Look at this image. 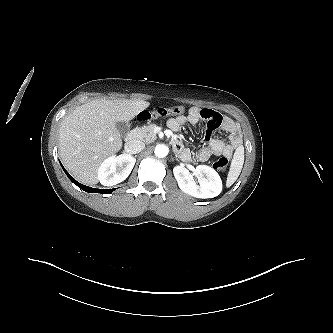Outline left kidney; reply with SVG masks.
Wrapping results in <instances>:
<instances>
[{"mask_svg":"<svg viewBox=\"0 0 333 333\" xmlns=\"http://www.w3.org/2000/svg\"><path fill=\"white\" fill-rule=\"evenodd\" d=\"M173 173L179 188L186 194L196 198H213L222 191V181L219 174L211 167L199 165L196 167L195 182L193 175L183 166H175Z\"/></svg>","mask_w":333,"mask_h":333,"instance_id":"5707ae66","label":"left kidney"}]
</instances>
